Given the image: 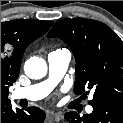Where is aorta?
Masks as SVG:
<instances>
[{
    "mask_svg": "<svg viewBox=\"0 0 123 123\" xmlns=\"http://www.w3.org/2000/svg\"><path fill=\"white\" fill-rule=\"evenodd\" d=\"M25 74L31 79H41L47 73L46 61L39 57H31L24 64Z\"/></svg>",
    "mask_w": 123,
    "mask_h": 123,
    "instance_id": "obj_1",
    "label": "aorta"
}]
</instances>
